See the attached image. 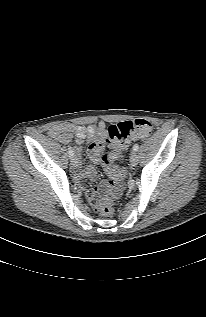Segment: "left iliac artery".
Segmentation results:
<instances>
[{
  "label": "left iliac artery",
  "mask_w": 206,
  "mask_h": 317,
  "mask_svg": "<svg viewBox=\"0 0 206 317\" xmlns=\"http://www.w3.org/2000/svg\"><path fill=\"white\" fill-rule=\"evenodd\" d=\"M138 149H139V145H138V144H135V145L133 146V150H134V151H138Z\"/></svg>",
  "instance_id": "left-iliac-artery-1"
}]
</instances>
